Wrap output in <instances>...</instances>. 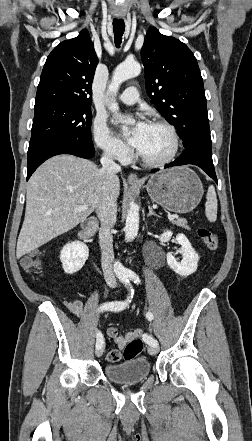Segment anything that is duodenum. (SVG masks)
Masks as SVG:
<instances>
[{
	"label": "duodenum",
	"instance_id": "1",
	"mask_svg": "<svg viewBox=\"0 0 252 441\" xmlns=\"http://www.w3.org/2000/svg\"><path fill=\"white\" fill-rule=\"evenodd\" d=\"M99 223L96 219H91L84 224L78 233L80 239H87L92 236L98 229Z\"/></svg>",
	"mask_w": 252,
	"mask_h": 441
}]
</instances>
